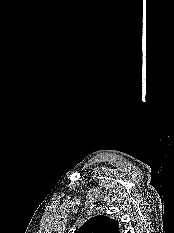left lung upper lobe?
<instances>
[{
	"instance_id": "left-lung-upper-lobe-1",
	"label": "left lung upper lobe",
	"mask_w": 174,
	"mask_h": 233,
	"mask_svg": "<svg viewBox=\"0 0 174 233\" xmlns=\"http://www.w3.org/2000/svg\"><path fill=\"white\" fill-rule=\"evenodd\" d=\"M75 233H120L119 222L99 215L90 218Z\"/></svg>"
}]
</instances>
